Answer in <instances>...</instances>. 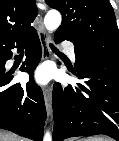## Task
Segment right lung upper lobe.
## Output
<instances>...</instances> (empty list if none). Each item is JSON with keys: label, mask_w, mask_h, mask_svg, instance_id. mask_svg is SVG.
Returning <instances> with one entry per match:
<instances>
[{"label": "right lung upper lobe", "mask_w": 119, "mask_h": 141, "mask_svg": "<svg viewBox=\"0 0 119 141\" xmlns=\"http://www.w3.org/2000/svg\"><path fill=\"white\" fill-rule=\"evenodd\" d=\"M37 14L35 0H0V50L26 38Z\"/></svg>", "instance_id": "obj_1"}]
</instances>
